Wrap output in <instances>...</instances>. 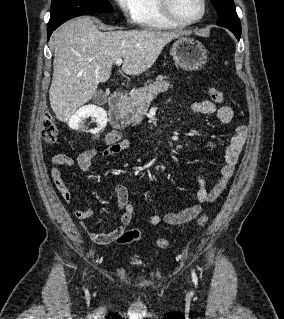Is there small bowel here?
I'll use <instances>...</instances> for the list:
<instances>
[{
	"instance_id": "1",
	"label": "small bowel",
	"mask_w": 284,
	"mask_h": 319,
	"mask_svg": "<svg viewBox=\"0 0 284 319\" xmlns=\"http://www.w3.org/2000/svg\"><path fill=\"white\" fill-rule=\"evenodd\" d=\"M192 111L204 115H214L216 118L225 124H229L233 119V110L228 106L217 107L209 100H202L194 102L191 105ZM246 128L241 126L237 127L230 136L229 142L224 150V163L219 169L218 177L215 184L208 189L206 187L203 171H199L198 183L199 189L196 194V200L189 207L179 212H170L163 217L160 215H150L147 221L150 225H158L161 221L169 225H179L191 221L199 215L202 205L204 203H211L218 199L222 191L225 189L229 180L231 179L235 166L238 162L239 156L245 144ZM104 142L107 148L104 150L105 157L113 156L123 151L130 149V143L124 139L123 133L118 130H111L104 136ZM212 148L214 144H210ZM97 150L94 146H89L84 149L77 156L76 163L80 170L84 173H89L91 170L92 158L96 155ZM53 167L51 176L56 188L60 191L62 198L66 203L72 202V194L68 189L62 174L63 167H71L74 164V159L65 153H57L52 157ZM116 197L118 207L122 210L120 217V226L116 229L101 233L94 231L86 220L92 215V210L85 207L74 206V214L81 222V225L90 239L98 244H107L117 239L125 232V227L130 223L135 209L129 202L128 189L123 185L116 187Z\"/></svg>"
}]
</instances>
